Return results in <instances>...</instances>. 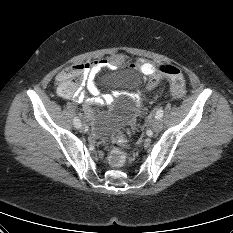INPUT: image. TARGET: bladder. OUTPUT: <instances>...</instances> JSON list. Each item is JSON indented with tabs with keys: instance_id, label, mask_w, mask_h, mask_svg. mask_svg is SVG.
<instances>
[{
	"instance_id": "bladder-1",
	"label": "bladder",
	"mask_w": 233,
	"mask_h": 233,
	"mask_svg": "<svg viewBox=\"0 0 233 233\" xmlns=\"http://www.w3.org/2000/svg\"><path fill=\"white\" fill-rule=\"evenodd\" d=\"M113 81L120 85L132 87L138 83V77L133 71H126L114 76ZM134 115V105L125 102L98 117L93 126L94 131L100 136L110 135L130 123Z\"/></svg>"
}]
</instances>
